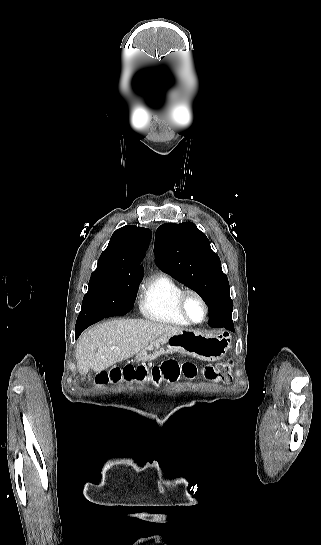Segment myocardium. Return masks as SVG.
Listing matches in <instances>:
<instances>
[{"label":"myocardium","instance_id":"1","mask_svg":"<svg viewBox=\"0 0 321 545\" xmlns=\"http://www.w3.org/2000/svg\"><path fill=\"white\" fill-rule=\"evenodd\" d=\"M190 295H193V296L197 297L199 299V301L201 302L202 306H203L204 313H203V317H202V319L200 321L193 320L186 311L185 302H186L187 297L190 296ZM175 308H176V312H177L178 316L186 324H188L190 326H197V325H200V324L204 323L206 321L207 317H208V314H209V307H208L206 299L204 298V296L199 291H197L195 289H184V290H182L179 293V295L177 296V298H176Z\"/></svg>","mask_w":321,"mask_h":545}]
</instances>
